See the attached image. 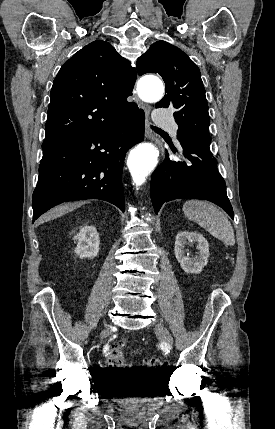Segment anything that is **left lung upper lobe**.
I'll return each instance as SVG.
<instances>
[{
  "mask_svg": "<svg viewBox=\"0 0 275 429\" xmlns=\"http://www.w3.org/2000/svg\"><path fill=\"white\" fill-rule=\"evenodd\" d=\"M139 75L159 74L166 94L156 108H174L177 137H194L210 144L209 114L198 66L176 46L157 41L137 60Z\"/></svg>",
  "mask_w": 275,
  "mask_h": 429,
  "instance_id": "left-lung-upper-lobe-1",
  "label": "left lung upper lobe"
}]
</instances>
